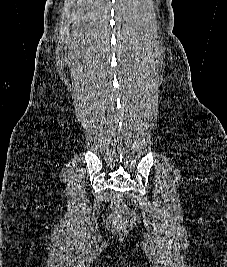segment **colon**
Masks as SVG:
<instances>
[{
	"mask_svg": "<svg viewBox=\"0 0 227 267\" xmlns=\"http://www.w3.org/2000/svg\"><path fill=\"white\" fill-rule=\"evenodd\" d=\"M111 226L116 230H127L136 223L135 213L129 209L120 196H116L113 202Z\"/></svg>",
	"mask_w": 227,
	"mask_h": 267,
	"instance_id": "colon-1",
	"label": "colon"
}]
</instances>
